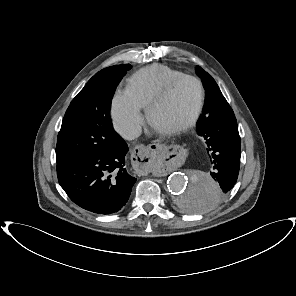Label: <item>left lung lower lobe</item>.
<instances>
[{"mask_svg": "<svg viewBox=\"0 0 296 296\" xmlns=\"http://www.w3.org/2000/svg\"><path fill=\"white\" fill-rule=\"evenodd\" d=\"M201 119L196 130L206 144L212 165L210 174L220 186L203 185L201 189L193 186L183 205L196 211L211 207L230 192L238 178L241 157L237 121L226 99Z\"/></svg>", "mask_w": 296, "mask_h": 296, "instance_id": "obj_1", "label": "left lung lower lobe"}]
</instances>
